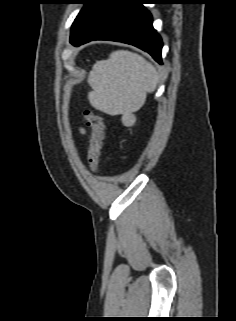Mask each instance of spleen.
I'll return each mask as SVG.
<instances>
[{"label": "spleen", "mask_w": 236, "mask_h": 321, "mask_svg": "<svg viewBox=\"0 0 236 321\" xmlns=\"http://www.w3.org/2000/svg\"><path fill=\"white\" fill-rule=\"evenodd\" d=\"M158 76L153 65L129 51H115L109 59L94 64L88 76L93 91L88 98L93 107L109 115L132 113L153 92Z\"/></svg>", "instance_id": "obj_1"}]
</instances>
